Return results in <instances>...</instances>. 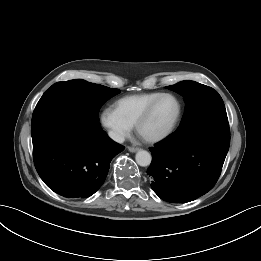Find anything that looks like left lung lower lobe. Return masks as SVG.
<instances>
[{"mask_svg": "<svg viewBox=\"0 0 261 261\" xmlns=\"http://www.w3.org/2000/svg\"><path fill=\"white\" fill-rule=\"evenodd\" d=\"M230 145L227 116L177 130L150 148L151 187L163 200L186 203L215 185Z\"/></svg>", "mask_w": 261, "mask_h": 261, "instance_id": "left-lung-lower-lobe-1", "label": "left lung lower lobe"}]
</instances>
